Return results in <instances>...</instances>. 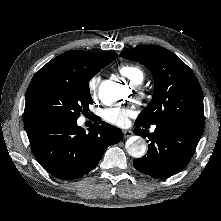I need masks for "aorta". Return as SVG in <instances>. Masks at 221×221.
<instances>
[{
  "instance_id": "762f6f07",
  "label": "aorta",
  "mask_w": 221,
  "mask_h": 221,
  "mask_svg": "<svg viewBox=\"0 0 221 221\" xmlns=\"http://www.w3.org/2000/svg\"><path fill=\"white\" fill-rule=\"evenodd\" d=\"M125 87L119 83L107 80L100 86V95L105 103L115 102L123 97ZM127 152L134 158H141L147 151L146 141L141 137L130 138V143L126 146Z\"/></svg>"
}]
</instances>
